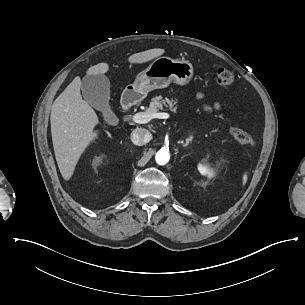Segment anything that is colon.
<instances>
[{"label": "colon", "mask_w": 305, "mask_h": 305, "mask_svg": "<svg viewBox=\"0 0 305 305\" xmlns=\"http://www.w3.org/2000/svg\"><path fill=\"white\" fill-rule=\"evenodd\" d=\"M216 81L220 86H229L233 82L232 73L225 68L217 69ZM229 133L233 139L239 143L253 145L255 143L252 132L244 131L236 127H229Z\"/></svg>", "instance_id": "1"}]
</instances>
